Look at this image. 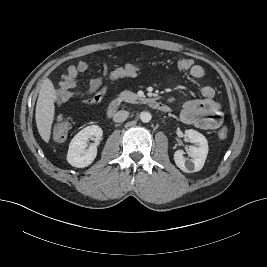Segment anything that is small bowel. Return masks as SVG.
I'll return each instance as SVG.
<instances>
[{"label": "small bowel", "instance_id": "small-bowel-1", "mask_svg": "<svg viewBox=\"0 0 267 267\" xmlns=\"http://www.w3.org/2000/svg\"><path fill=\"white\" fill-rule=\"evenodd\" d=\"M87 69L88 64L83 60H79L67 68L56 91L57 105H61L75 96L82 97L83 103L88 106L97 105L103 100L107 92L106 75L109 72L107 66H105L103 75L92 78L86 90L80 91L77 89L78 78ZM189 74L195 79L202 80L205 77V70L200 65H192ZM201 94V99L189 100L182 105L180 119L183 123L194 125L200 129H217L223 122V113L220 104L214 99V86L208 81H203Z\"/></svg>", "mask_w": 267, "mask_h": 267}]
</instances>
